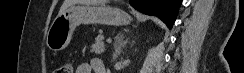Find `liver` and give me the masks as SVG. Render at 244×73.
Masks as SVG:
<instances>
[{
    "label": "liver",
    "mask_w": 244,
    "mask_h": 73,
    "mask_svg": "<svg viewBox=\"0 0 244 73\" xmlns=\"http://www.w3.org/2000/svg\"><path fill=\"white\" fill-rule=\"evenodd\" d=\"M100 3L101 1L99 0H64L58 15L62 14L71 5H75V4L97 5Z\"/></svg>",
    "instance_id": "liver-1"
}]
</instances>
